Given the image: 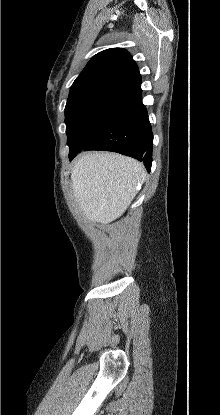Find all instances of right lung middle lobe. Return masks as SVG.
Instances as JSON below:
<instances>
[{
	"mask_svg": "<svg viewBox=\"0 0 220 415\" xmlns=\"http://www.w3.org/2000/svg\"><path fill=\"white\" fill-rule=\"evenodd\" d=\"M140 91L115 78H102L71 86L65 107L67 144L83 148L112 113Z\"/></svg>",
	"mask_w": 220,
	"mask_h": 415,
	"instance_id": "1",
	"label": "right lung middle lobe"
}]
</instances>
